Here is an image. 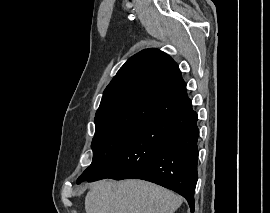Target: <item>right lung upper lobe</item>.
<instances>
[{"label":"right lung upper lobe","instance_id":"1","mask_svg":"<svg viewBox=\"0 0 270 213\" xmlns=\"http://www.w3.org/2000/svg\"><path fill=\"white\" fill-rule=\"evenodd\" d=\"M186 87L175 61L158 49L132 56L106 87L96 116L132 102H163Z\"/></svg>","mask_w":270,"mask_h":213}]
</instances>
